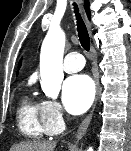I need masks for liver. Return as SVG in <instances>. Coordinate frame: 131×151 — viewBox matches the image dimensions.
Instances as JSON below:
<instances>
[{
    "label": "liver",
    "mask_w": 131,
    "mask_h": 151,
    "mask_svg": "<svg viewBox=\"0 0 131 151\" xmlns=\"http://www.w3.org/2000/svg\"><path fill=\"white\" fill-rule=\"evenodd\" d=\"M56 142H26L11 148V151H53Z\"/></svg>",
    "instance_id": "1"
}]
</instances>
